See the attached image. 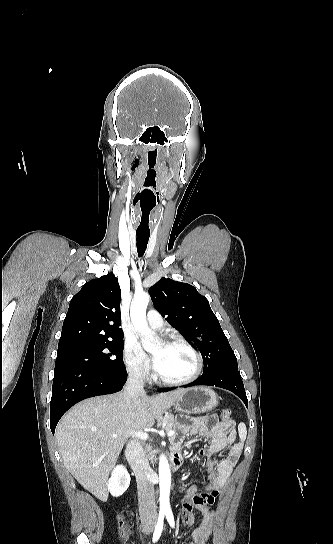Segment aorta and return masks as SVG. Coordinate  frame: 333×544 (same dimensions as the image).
<instances>
[{
	"mask_svg": "<svg viewBox=\"0 0 333 544\" xmlns=\"http://www.w3.org/2000/svg\"><path fill=\"white\" fill-rule=\"evenodd\" d=\"M150 296L148 293H135L131 303L130 316L133 326L138 334L144 339L146 349L153 351L156 349L159 339L150 331L146 321V308L149 303ZM170 487L171 473L169 463L165 455L159 458V488H160V506L162 508H170Z\"/></svg>",
	"mask_w": 333,
	"mask_h": 544,
	"instance_id": "obj_1",
	"label": "aorta"
}]
</instances>
